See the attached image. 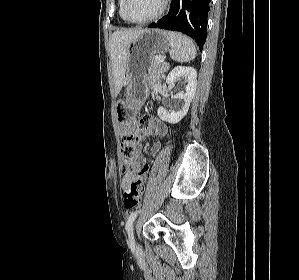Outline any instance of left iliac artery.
<instances>
[{"label":"left iliac artery","mask_w":299,"mask_h":280,"mask_svg":"<svg viewBox=\"0 0 299 280\" xmlns=\"http://www.w3.org/2000/svg\"><path fill=\"white\" fill-rule=\"evenodd\" d=\"M138 213H139V211H134L128 217V220L126 222V230L128 232L132 231V225H133V222L136 219Z\"/></svg>","instance_id":"1"}]
</instances>
